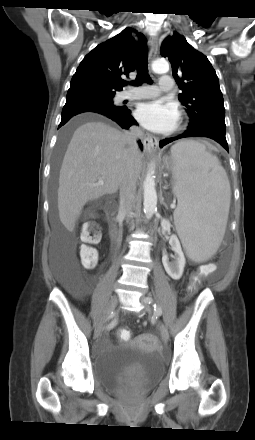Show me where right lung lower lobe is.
I'll use <instances>...</instances> for the list:
<instances>
[{
	"label": "right lung lower lobe",
	"instance_id": "obj_1",
	"mask_svg": "<svg viewBox=\"0 0 255 440\" xmlns=\"http://www.w3.org/2000/svg\"><path fill=\"white\" fill-rule=\"evenodd\" d=\"M85 112L102 114L117 122L124 129H129L132 125H138L135 119L131 116V111L127 107L116 106L113 102L103 99L86 97L76 100H66V104L62 110V119L59 128L67 123V121L73 116ZM139 146L143 149L141 143Z\"/></svg>",
	"mask_w": 255,
	"mask_h": 440
}]
</instances>
